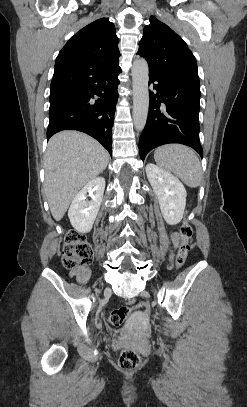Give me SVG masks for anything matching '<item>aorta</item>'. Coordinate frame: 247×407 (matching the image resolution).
<instances>
[{"mask_svg": "<svg viewBox=\"0 0 247 407\" xmlns=\"http://www.w3.org/2000/svg\"><path fill=\"white\" fill-rule=\"evenodd\" d=\"M149 69L145 59L139 58L132 65L133 88V123L138 131H142L147 120L149 108Z\"/></svg>", "mask_w": 247, "mask_h": 407, "instance_id": "aorta-1", "label": "aorta"}]
</instances>
